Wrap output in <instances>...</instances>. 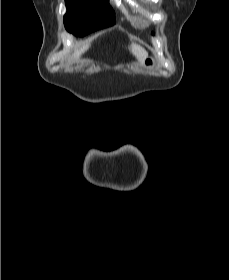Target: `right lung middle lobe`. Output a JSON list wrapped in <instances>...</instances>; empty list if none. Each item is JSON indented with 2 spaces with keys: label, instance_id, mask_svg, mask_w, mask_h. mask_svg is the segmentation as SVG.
<instances>
[{
  "label": "right lung middle lobe",
  "instance_id": "dd1d6c3e",
  "mask_svg": "<svg viewBox=\"0 0 229 280\" xmlns=\"http://www.w3.org/2000/svg\"><path fill=\"white\" fill-rule=\"evenodd\" d=\"M64 25L76 36L114 25V11L107 0H65Z\"/></svg>",
  "mask_w": 229,
  "mask_h": 280
}]
</instances>
